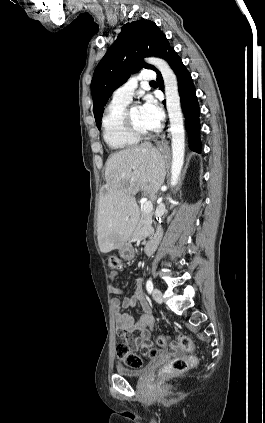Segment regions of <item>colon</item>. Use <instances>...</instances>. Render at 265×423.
I'll list each match as a JSON object with an SVG mask.
<instances>
[{"instance_id": "colon-1", "label": "colon", "mask_w": 265, "mask_h": 423, "mask_svg": "<svg viewBox=\"0 0 265 423\" xmlns=\"http://www.w3.org/2000/svg\"><path fill=\"white\" fill-rule=\"evenodd\" d=\"M109 267L114 271L122 269V262L116 255L109 257ZM170 336L168 334H161L156 338V347L151 348L148 351V357L153 358L159 353V349L170 345ZM174 350L180 348L186 352L193 350V344L189 336L185 334H179L177 337L176 345H171ZM117 357L123 364L129 368L136 369L141 368L143 365V359L134 354L125 341H121L116 348ZM197 361V358L193 355H186L174 358L168 365L161 370V375H170L174 373H181L187 371Z\"/></svg>"}]
</instances>
